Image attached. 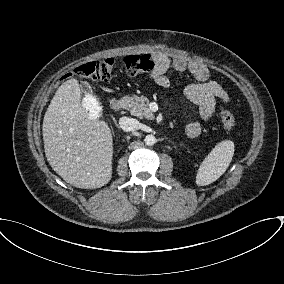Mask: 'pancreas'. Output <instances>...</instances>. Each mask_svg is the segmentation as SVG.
Listing matches in <instances>:
<instances>
[{"mask_svg":"<svg viewBox=\"0 0 284 284\" xmlns=\"http://www.w3.org/2000/svg\"><path fill=\"white\" fill-rule=\"evenodd\" d=\"M123 108L130 111L131 115L143 119H154V114L149 108V99L146 96H125L122 98Z\"/></svg>","mask_w":284,"mask_h":284,"instance_id":"1","label":"pancreas"}]
</instances>
